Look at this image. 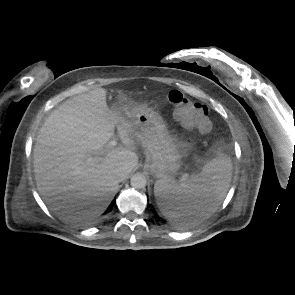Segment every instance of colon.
Segmentation results:
<instances>
[{"label": "colon", "mask_w": 295, "mask_h": 295, "mask_svg": "<svg viewBox=\"0 0 295 295\" xmlns=\"http://www.w3.org/2000/svg\"><path fill=\"white\" fill-rule=\"evenodd\" d=\"M168 101L174 109L175 117L185 126L196 128L202 133L211 129V121L206 106L198 104L180 91L169 92Z\"/></svg>", "instance_id": "obj_1"}]
</instances>
